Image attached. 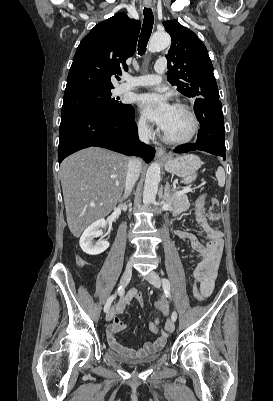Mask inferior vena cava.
<instances>
[{
	"instance_id": "602c4592",
	"label": "inferior vena cava",
	"mask_w": 273,
	"mask_h": 401,
	"mask_svg": "<svg viewBox=\"0 0 273 401\" xmlns=\"http://www.w3.org/2000/svg\"><path fill=\"white\" fill-rule=\"evenodd\" d=\"M139 138L142 140V142H149V136H150V130H148L147 126L145 124H142V126H139L138 130ZM141 170V162L140 158H132V160H129L128 162V170H127V176H126V182H125V192L123 198H126L128 194H130Z\"/></svg>"
}]
</instances>
